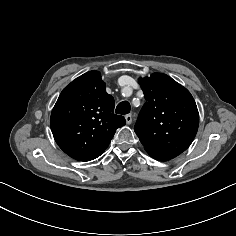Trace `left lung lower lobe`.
I'll return each mask as SVG.
<instances>
[{
  "label": "left lung lower lobe",
  "instance_id": "0a47b994",
  "mask_svg": "<svg viewBox=\"0 0 236 236\" xmlns=\"http://www.w3.org/2000/svg\"><path fill=\"white\" fill-rule=\"evenodd\" d=\"M151 157H153L156 160L159 161H167L170 160L176 156L171 155V154H163V153H148Z\"/></svg>",
  "mask_w": 236,
  "mask_h": 236
}]
</instances>
